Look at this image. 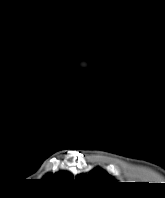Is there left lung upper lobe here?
Returning a JSON list of instances; mask_svg holds the SVG:
<instances>
[{
  "mask_svg": "<svg viewBox=\"0 0 165 198\" xmlns=\"http://www.w3.org/2000/svg\"><path fill=\"white\" fill-rule=\"evenodd\" d=\"M77 180L86 181L90 183H99V182H107L114 181L110 179V176L106 174L104 171L97 169L89 172L88 174H81L76 177Z\"/></svg>",
  "mask_w": 165,
  "mask_h": 198,
  "instance_id": "1",
  "label": "left lung upper lobe"
}]
</instances>
